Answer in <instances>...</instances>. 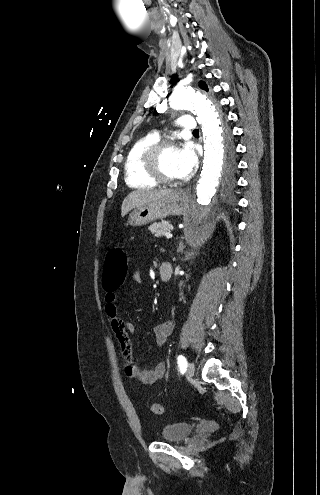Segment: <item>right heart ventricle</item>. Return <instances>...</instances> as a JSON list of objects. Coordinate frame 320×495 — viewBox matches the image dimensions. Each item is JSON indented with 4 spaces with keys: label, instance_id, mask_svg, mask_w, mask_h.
<instances>
[{
    "label": "right heart ventricle",
    "instance_id": "1",
    "mask_svg": "<svg viewBox=\"0 0 320 495\" xmlns=\"http://www.w3.org/2000/svg\"><path fill=\"white\" fill-rule=\"evenodd\" d=\"M158 141L155 135L149 134L137 140L129 149L124 163L125 182L132 188H154L157 182L148 176L142 166V155L152 144Z\"/></svg>",
    "mask_w": 320,
    "mask_h": 495
}]
</instances>
